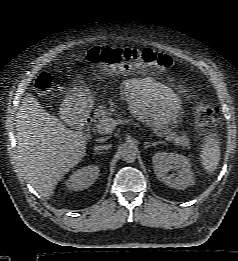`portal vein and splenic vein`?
Returning <instances> with one entry per match:
<instances>
[{
    "label": "portal vein and splenic vein",
    "mask_w": 238,
    "mask_h": 261,
    "mask_svg": "<svg viewBox=\"0 0 238 261\" xmlns=\"http://www.w3.org/2000/svg\"><path fill=\"white\" fill-rule=\"evenodd\" d=\"M119 123H124V124L132 123L136 127H140L137 123H133V121L131 120H121V119L116 120L114 118L108 117L104 121H102L99 125H97V131L100 134L111 133Z\"/></svg>",
    "instance_id": "18ae733b"
}]
</instances>
